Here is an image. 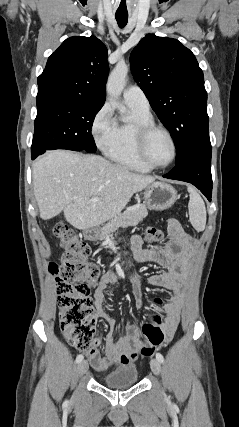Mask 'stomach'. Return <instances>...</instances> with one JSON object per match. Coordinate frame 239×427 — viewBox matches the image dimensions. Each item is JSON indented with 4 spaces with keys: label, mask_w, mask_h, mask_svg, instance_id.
<instances>
[{
    "label": "stomach",
    "mask_w": 239,
    "mask_h": 427,
    "mask_svg": "<svg viewBox=\"0 0 239 427\" xmlns=\"http://www.w3.org/2000/svg\"><path fill=\"white\" fill-rule=\"evenodd\" d=\"M145 203L148 208L162 211L170 208L177 200L176 190L169 184L154 182L145 188ZM85 239L90 241L101 240L103 238L100 226L85 229L83 231Z\"/></svg>",
    "instance_id": "stomach-1"
}]
</instances>
